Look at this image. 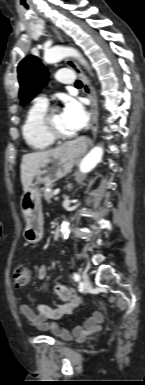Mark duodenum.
I'll return each instance as SVG.
<instances>
[{
	"label": "duodenum",
	"instance_id": "duodenum-1",
	"mask_svg": "<svg viewBox=\"0 0 145 385\" xmlns=\"http://www.w3.org/2000/svg\"><path fill=\"white\" fill-rule=\"evenodd\" d=\"M60 231H61L60 226L57 225V226L55 227L54 231H53V238H54V240H58V239H59V237H60Z\"/></svg>",
	"mask_w": 145,
	"mask_h": 385
}]
</instances>
